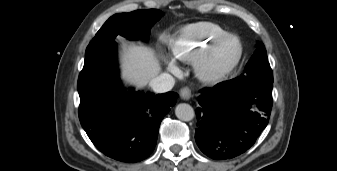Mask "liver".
Returning <instances> with one entry per match:
<instances>
[{
  "label": "liver",
  "mask_w": 337,
  "mask_h": 171,
  "mask_svg": "<svg viewBox=\"0 0 337 171\" xmlns=\"http://www.w3.org/2000/svg\"><path fill=\"white\" fill-rule=\"evenodd\" d=\"M121 69L122 78L139 88L147 85L161 71L152 49L125 44L121 53Z\"/></svg>",
  "instance_id": "liver-1"
}]
</instances>
